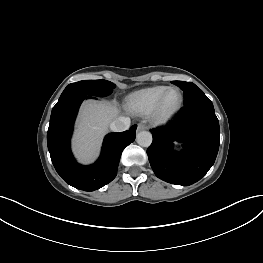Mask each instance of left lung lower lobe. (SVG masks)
<instances>
[{
	"mask_svg": "<svg viewBox=\"0 0 263 263\" xmlns=\"http://www.w3.org/2000/svg\"><path fill=\"white\" fill-rule=\"evenodd\" d=\"M153 142L147 149L156 176L166 182L189 186L211 168L219 149V122L212 102L201 98L185 104L169 125L152 130ZM183 142L176 152L173 142Z\"/></svg>",
	"mask_w": 263,
	"mask_h": 263,
	"instance_id": "left-lung-lower-lobe-1",
	"label": "left lung lower lobe"
}]
</instances>
